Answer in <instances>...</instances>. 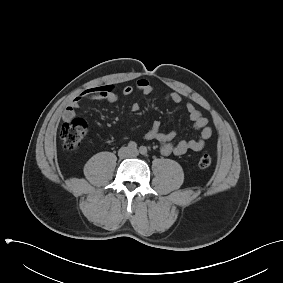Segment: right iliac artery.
<instances>
[{
    "instance_id": "82829eb1",
    "label": "right iliac artery",
    "mask_w": 283,
    "mask_h": 283,
    "mask_svg": "<svg viewBox=\"0 0 283 283\" xmlns=\"http://www.w3.org/2000/svg\"><path fill=\"white\" fill-rule=\"evenodd\" d=\"M128 148L130 150H136L137 149V144L135 142L131 141V142L128 143Z\"/></svg>"
}]
</instances>
